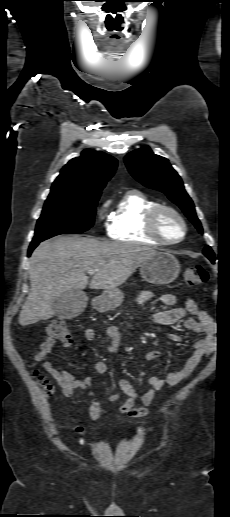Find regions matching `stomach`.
Here are the masks:
<instances>
[{"instance_id": "obj_1", "label": "stomach", "mask_w": 230, "mask_h": 517, "mask_svg": "<svg viewBox=\"0 0 230 517\" xmlns=\"http://www.w3.org/2000/svg\"><path fill=\"white\" fill-rule=\"evenodd\" d=\"M179 261L168 252H157L140 265L142 278L152 284L165 285L173 282L179 275ZM124 295L118 288L108 289L99 297L96 304L101 311L113 310L123 302Z\"/></svg>"}]
</instances>
